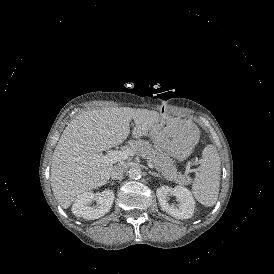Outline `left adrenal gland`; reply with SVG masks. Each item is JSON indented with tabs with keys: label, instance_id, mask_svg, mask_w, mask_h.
<instances>
[{
	"label": "left adrenal gland",
	"instance_id": "obj_1",
	"mask_svg": "<svg viewBox=\"0 0 274 274\" xmlns=\"http://www.w3.org/2000/svg\"><path fill=\"white\" fill-rule=\"evenodd\" d=\"M148 172H149L150 175H154V176H156V177L162 178L161 175L157 174V173L154 172V171H151L150 169H148Z\"/></svg>",
	"mask_w": 274,
	"mask_h": 274
}]
</instances>
